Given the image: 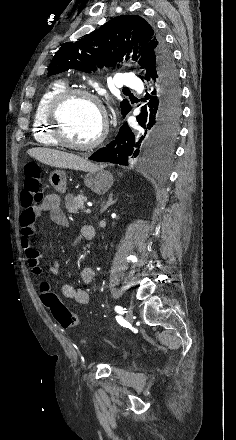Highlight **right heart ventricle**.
<instances>
[{
  "label": "right heart ventricle",
  "mask_w": 236,
  "mask_h": 440,
  "mask_svg": "<svg viewBox=\"0 0 236 440\" xmlns=\"http://www.w3.org/2000/svg\"><path fill=\"white\" fill-rule=\"evenodd\" d=\"M66 88L63 80L53 81L40 95L33 114V137L41 145L57 147L58 143L53 139L46 120L47 107L52 98Z\"/></svg>",
  "instance_id": "right-heart-ventricle-1"
}]
</instances>
